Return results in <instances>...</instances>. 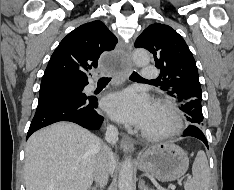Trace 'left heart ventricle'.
<instances>
[{
    "instance_id": "b2bd125f",
    "label": "left heart ventricle",
    "mask_w": 234,
    "mask_h": 190,
    "mask_svg": "<svg viewBox=\"0 0 234 190\" xmlns=\"http://www.w3.org/2000/svg\"><path fill=\"white\" fill-rule=\"evenodd\" d=\"M169 124H170V120L168 116L164 114L163 112L154 108L151 118L149 122L147 123V125L144 127V129L152 130V131L161 130V129L168 127Z\"/></svg>"
}]
</instances>
